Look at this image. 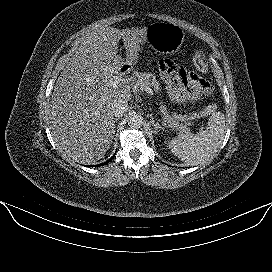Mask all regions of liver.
<instances>
[{
    "label": "liver",
    "instance_id": "obj_1",
    "mask_svg": "<svg viewBox=\"0 0 272 272\" xmlns=\"http://www.w3.org/2000/svg\"><path fill=\"white\" fill-rule=\"evenodd\" d=\"M147 27L92 31L64 67L50 101L52 136L58 149L82 164L104 157L114 130V102L131 98L129 82L110 85L124 65L133 66L146 43ZM122 40L126 58L118 54Z\"/></svg>",
    "mask_w": 272,
    "mask_h": 272
}]
</instances>
